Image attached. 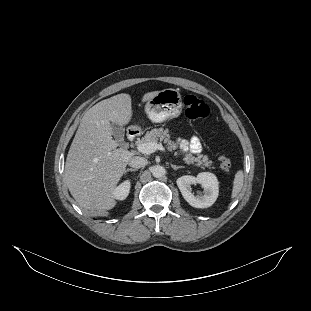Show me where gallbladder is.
<instances>
[{
  "instance_id": "bac80fb5",
  "label": "gallbladder",
  "mask_w": 311,
  "mask_h": 311,
  "mask_svg": "<svg viewBox=\"0 0 311 311\" xmlns=\"http://www.w3.org/2000/svg\"><path fill=\"white\" fill-rule=\"evenodd\" d=\"M112 129H113V136L115 140L118 142V145L120 147L126 146V142L124 141L125 128L117 124H112Z\"/></svg>"
}]
</instances>
